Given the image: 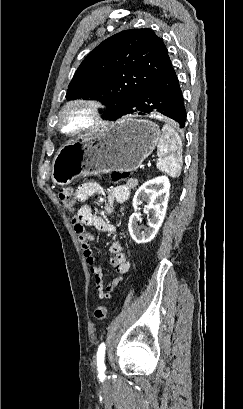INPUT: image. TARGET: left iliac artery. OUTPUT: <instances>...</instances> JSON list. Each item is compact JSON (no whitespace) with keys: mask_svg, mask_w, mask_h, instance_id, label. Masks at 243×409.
<instances>
[{"mask_svg":"<svg viewBox=\"0 0 243 409\" xmlns=\"http://www.w3.org/2000/svg\"><path fill=\"white\" fill-rule=\"evenodd\" d=\"M104 359H105V343H101L98 351H97V369L99 373L100 378H104V372H105V364H104Z\"/></svg>","mask_w":243,"mask_h":409,"instance_id":"left-iliac-artery-1","label":"left iliac artery"}]
</instances>
